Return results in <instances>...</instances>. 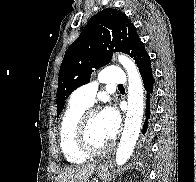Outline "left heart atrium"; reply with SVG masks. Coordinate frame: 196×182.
Segmentation results:
<instances>
[{
	"label": "left heart atrium",
	"mask_w": 196,
	"mask_h": 182,
	"mask_svg": "<svg viewBox=\"0 0 196 182\" xmlns=\"http://www.w3.org/2000/svg\"><path fill=\"white\" fill-rule=\"evenodd\" d=\"M98 124L106 139L111 140L112 138H114L120 124V119L117 111L111 106L105 107L98 114Z\"/></svg>",
	"instance_id": "39dd6f15"
}]
</instances>
